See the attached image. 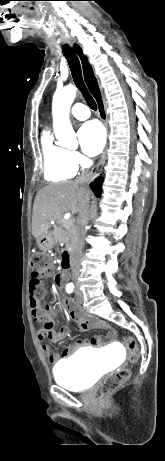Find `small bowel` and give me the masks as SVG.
Wrapping results in <instances>:
<instances>
[{"label": "small bowel", "mask_w": 165, "mask_h": 461, "mask_svg": "<svg viewBox=\"0 0 165 461\" xmlns=\"http://www.w3.org/2000/svg\"><path fill=\"white\" fill-rule=\"evenodd\" d=\"M64 272L63 271H56V276L54 278V283L56 284L57 289H62L64 287ZM29 306L30 312L33 317V320L36 323L41 324L37 332V339L42 342V350L44 354L50 359L52 363L58 362L61 358L67 357L72 354L74 351L86 347L90 344L92 345H99L101 344V338L94 337L91 341L87 339H79L75 341L71 346L66 348L63 352L61 357L55 355L52 352L50 345L44 343V340L48 338L50 341L56 343L62 341L69 335V328L68 326H63L60 328L59 331L54 329L55 326V316L56 310L51 305H45L42 307L39 301L33 296H30L29 299ZM64 306L68 309L69 318H72L77 321L78 327L86 331L87 329L94 328L107 331V339L113 340L115 337V332L110 328L108 324L102 321L92 322L86 319L81 312L75 310L72 307V304L69 300L64 301Z\"/></svg>", "instance_id": "small-bowel-1"}]
</instances>
